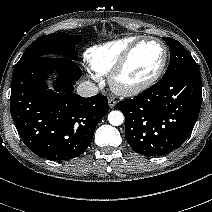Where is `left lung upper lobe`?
Instances as JSON below:
<instances>
[{"instance_id":"5c2ea615","label":"left lung upper lobe","mask_w":212,"mask_h":212,"mask_svg":"<svg viewBox=\"0 0 212 212\" xmlns=\"http://www.w3.org/2000/svg\"><path fill=\"white\" fill-rule=\"evenodd\" d=\"M163 39L169 46L170 63L162 79H166L186 69L198 68L194 59L180 42L170 37H163Z\"/></svg>"}]
</instances>
